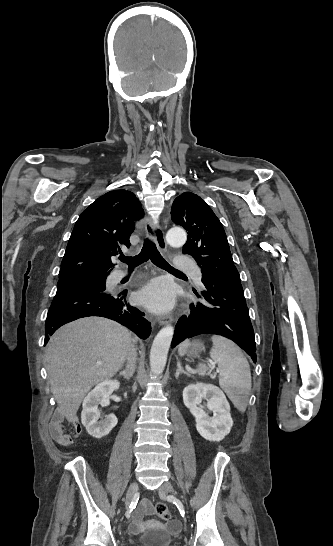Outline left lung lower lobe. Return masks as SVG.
I'll return each mask as SVG.
<instances>
[{"label":"left lung lower lobe","mask_w":333,"mask_h":546,"mask_svg":"<svg viewBox=\"0 0 333 546\" xmlns=\"http://www.w3.org/2000/svg\"><path fill=\"white\" fill-rule=\"evenodd\" d=\"M202 283L205 286L200 296L202 302L191 304L178 320L172 347L196 335H221L238 344L256 362L254 330L242 285L213 284L204 276Z\"/></svg>","instance_id":"left-lung-lower-lobe-1"}]
</instances>
